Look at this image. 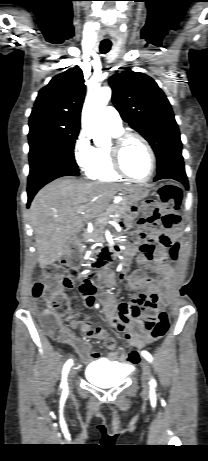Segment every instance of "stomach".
I'll use <instances>...</instances> for the list:
<instances>
[{
  "mask_svg": "<svg viewBox=\"0 0 208 461\" xmlns=\"http://www.w3.org/2000/svg\"><path fill=\"white\" fill-rule=\"evenodd\" d=\"M148 194H149L148 188L142 185H138V186L132 187L131 189L128 190L127 193H125V199L130 202L136 203L144 199L145 197H147Z\"/></svg>",
  "mask_w": 208,
  "mask_h": 461,
  "instance_id": "obj_1",
  "label": "stomach"
}]
</instances>
